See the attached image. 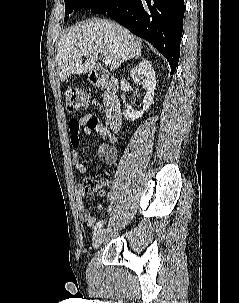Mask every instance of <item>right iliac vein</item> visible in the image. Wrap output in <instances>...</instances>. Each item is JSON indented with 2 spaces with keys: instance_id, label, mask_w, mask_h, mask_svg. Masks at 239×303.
I'll return each instance as SVG.
<instances>
[{
  "instance_id": "63e3f726",
  "label": "right iliac vein",
  "mask_w": 239,
  "mask_h": 303,
  "mask_svg": "<svg viewBox=\"0 0 239 303\" xmlns=\"http://www.w3.org/2000/svg\"><path fill=\"white\" fill-rule=\"evenodd\" d=\"M105 230L104 229H99L97 230L92 238V247L94 249H97L101 246V244L104 242L105 240Z\"/></svg>"
}]
</instances>
